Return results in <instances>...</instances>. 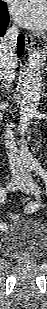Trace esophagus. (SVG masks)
Instances as JSON below:
<instances>
[{
	"mask_svg": "<svg viewBox=\"0 0 47 309\" xmlns=\"http://www.w3.org/2000/svg\"><path fill=\"white\" fill-rule=\"evenodd\" d=\"M34 44H35V41H34V38L32 35H26L25 37V49L28 50V51H32L33 48H34Z\"/></svg>",
	"mask_w": 47,
	"mask_h": 309,
	"instance_id": "obj_1",
	"label": "esophagus"
}]
</instances>
